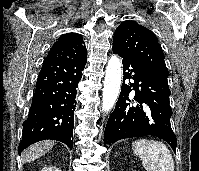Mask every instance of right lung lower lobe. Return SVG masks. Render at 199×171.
Masks as SVG:
<instances>
[{"label": "right lung lower lobe", "mask_w": 199, "mask_h": 171, "mask_svg": "<svg viewBox=\"0 0 199 171\" xmlns=\"http://www.w3.org/2000/svg\"><path fill=\"white\" fill-rule=\"evenodd\" d=\"M85 64L86 57L43 62L29 115L23 123L19 153L46 139L61 141L72 149L75 98Z\"/></svg>", "instance_id": "98d812e1"}]
</instances>
